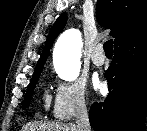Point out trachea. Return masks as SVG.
Masks as SVG:
<instances>
[{"label":"trachea","mask_w":147,"mask_h":131,"mask_svg":"<svg viewBox=\"0 0 147 131\" xmlns=\"http://www.w3.org/2000/svg\"><path fill=\"white\" fill-rule=\"evenodd\" d=\"M104 51L106 54H112L113 53V41L112 39L106 41L103 45Z\"/></svg>","instance_id":"trachea-1"}]
</instances>
